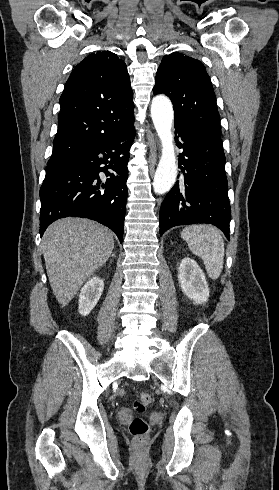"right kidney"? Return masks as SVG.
I'll return each instance as SVG.
<instances>
[{"instance_id":"1","label":"right kidney","mask_w":279,"mask_h":490,"mask_svg":"<svg viewBox=\"0 0 279 490\" xmlns=\"http://www.w3.org/2000/svg\"><path fill=\"white\" fill-rule=\"evenodd\" d=\"M104 290V280L98 276H92L91 280L86 282L81 288L78 300V312L81 316H88L91 310L95 308L98 300Z\"/></svg>"}]
</instances>
